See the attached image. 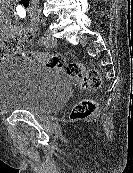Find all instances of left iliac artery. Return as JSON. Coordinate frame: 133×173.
<instances>
[{
    "instance_id": "left-iliac-artery-1",
    "label": "left iliac artery",
    "mask_w": 133,
    "mask_h": 173,
    "mask_svg": "<svg viewBox=\"0 0 133 173\" xmlns=\"http://www.w3.org/2000/svg\"><path fill=\"white\" fill-rule=\"evenodd\" d=\"M39 43H40V44H45V39H44L43 36H41V37L39 38Z\"/></svg>"
}]
</instances>
